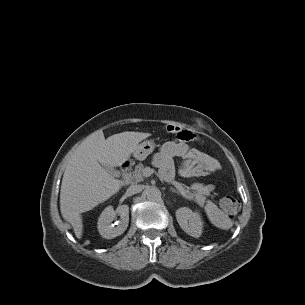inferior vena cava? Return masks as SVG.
<instances>
[{"instance_id": "obj_1", "label": "inferior vena cava", "mask_w": 305, "mask_h": 305, "mask_svg": "<svg viewBox=\"0 0 305 305\" xmlns=\"http://www.w3.org/2000/svg\"><path fill=\"white\" fill-rule=\"evenodd\" d=\"M142 189H143L142 185H132L127 189L126 195L131 196V195L137 194V193L141 192Z\"/></svg>"}]
</instances>
